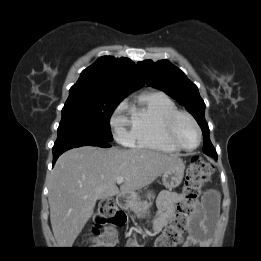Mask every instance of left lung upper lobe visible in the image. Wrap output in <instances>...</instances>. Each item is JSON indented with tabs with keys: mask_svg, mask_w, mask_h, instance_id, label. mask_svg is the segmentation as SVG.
Returning a JSON list of instances; mask_svg holds the SVG:
<instances>
[{
	"mask_svg": "<svg viewBox=\"0 0 261 261\" xmlns=\"http://www.w3.org/2000/svg\"><path fill=\"white\" fill-rule=\"evenodd\" d=\"M138 67L146 84L164 91L166 94L185 106L200 125L203 136V152L215 159L217 153L209 138V128L205 120V104L199 95L198 88L185 74L167 60L138 62Z\"/></svg>",
	"mask_w": 261,
	"mask_h": 261,
	"instance_id": "1",
	"label": "left lung upper lobe"
}]
</instances>
